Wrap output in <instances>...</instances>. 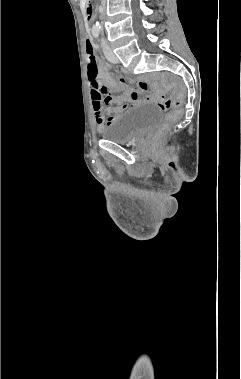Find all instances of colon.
I'll list each match as a JSON object with an SVG mask.
<instances>
[{"label":"colon","instance_id":"5ec220e1","mask_svg":"<svg viewBox=\"0 0 241 379\" xmlns=\"http://www.w3.org/2000/svg\"><path fill=\"white\" fill-rule=\"evenodd\" d=\"M86 55H87V69H88V85L90 89H100L101 92H105L104 89L100 88L99 82L97 81V75H98V65L96 56L94 53V47L92 42L89 40L86 41ZM184 101L183 94L178 95L176 98H171L166 95L159 96L157 98L158 105L164 109L169 110L173 109L169 114L167 115L164 123L159 128L157 132V137H162L165 135L170 127L179 119L181 115V106Z\"/></svg>","mask_w":241,"mask_h":379}]
</instances>
